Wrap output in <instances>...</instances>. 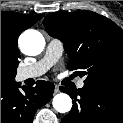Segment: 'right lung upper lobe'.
Returning <instances> with one entry per match:
<instances>
[{
    "label": "right lung upper lobe",
    "mask_w": 123,
    "mask_h": 123,
    "mask_svg": "<svg viewBox=\"0 0 123 123\" xmlns=\"http://www.w3.org/2000/svg\"><path fill=\"white\" fill-rule=\"evenodd\" d=\"M44 15L20 14L16 12H1V47L6 48L13 55L19 53L17 47L18 36L24 30L33 26Z\"/></svg>",
    "instance_id": "right-lung-upper-lobe-1"
}]
</instances>
